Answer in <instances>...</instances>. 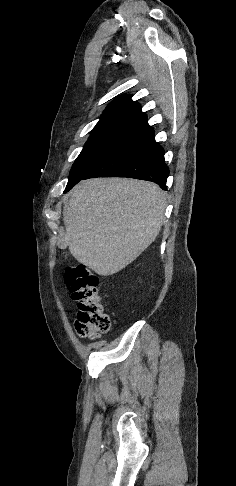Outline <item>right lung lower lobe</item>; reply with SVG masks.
<instances>
[{"label": "right lung lower lobe", "instance_id": "1", "mask_svg": "<svg viewBox=\"0 0 236 486\" xmlns=\"http://www.w3.org/2000/svg\"><path fill=\"white\" fill-rule=\"evenodd\" d=\"M168 175L164 149L155 141L154 130L146 120L130 141L92 169L83 179L129 177L155 182L167 190Z\"/></svg>", "mask_w": 236, "mask_h": 486}]
</instances>
